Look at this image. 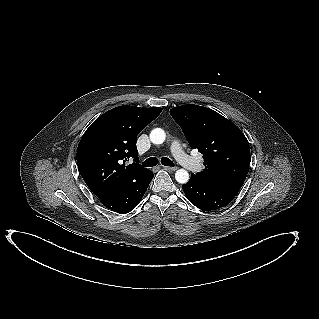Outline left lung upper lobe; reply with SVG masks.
<instances>
[{"label":"left lung upper lobe","instance_id":"5c2ea615","mask_svg":"<svg viewBox=\"0 0 319 319\" xmlns=\"http://www.w3.org/2000/svg\"><path fill=\"white\" fill-rule=\"evenodd\" d=\"M171 116L192 148L203 154L201 180L237 194L248 174L249 143L241 130L212 109L190 104L174 107Z\"/></svg>","mask_w":319,"mask_h":319}]
</instances>
